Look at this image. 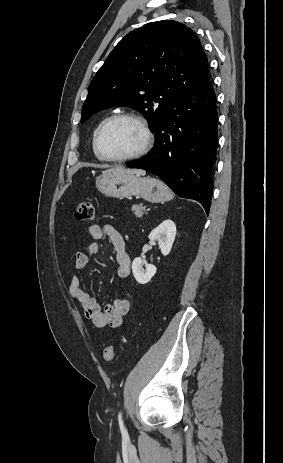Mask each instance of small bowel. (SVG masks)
Listing matches in <instances>:
<instances>
[{
    "instance_id": "1",
    "label": "small bowel",
    "mask_w": 283,
    "mask_h": 463,
    "mask_svg": "<svg viewBox=\"0 0 283 463\" xmlns=\"http://www.w3.org/2000/svg\"><path fill=\"white\" fill-rule=\"evenodd\" d=\"M88 233L93 238L85 249L75 252V270L80 272L85 269L90 256H97L100 252L99 240L108 237L116 255V275L127 278L130 274L131 260L126 251L125 240L122 234L112 225L99 226L92 224L88 226ZM69 294L76 300L84 311L85 317L97 327L110 326L119 328L123 324V317L131 309V300L128 297H116L112 303L100 307L95 299L84 290L81 278L74 273L70 279Z\"/></svg>"
}]
</instances>
